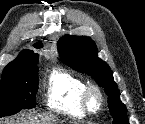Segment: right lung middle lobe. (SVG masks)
<instances>
[{
    "label": "right lung middle lobe",
    "instance_id": "obj_1",
    "mask_svg": "<svg viewBox=\"0 0 145 124\" xmlns=\"http://www.w3.org/2000/svg\"><path fill=\"white\" fill-rule=\"evenodd\" d=\"M36 64L31 69L18 74L2 75L0 118L18 113L22 109L35 107V95L38 90V67Z\"/></svg>",
    "mask_w": 145,
    "mask_h": 124
}]
</instances>
